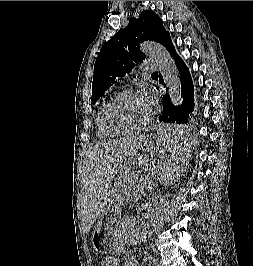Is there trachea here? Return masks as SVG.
<instances>
[{
  "mask_svg": "<svg viewBox=\"0 0 253 266\" xmlns=\"http://www.w3.org/2000/svg\"><path fill=\"white\" fill-rule=\"evenodd\" d=\"M152 75H158V73L157 72H154V73H152Z\"/></svg>",
  "mask_w": 253,
  "mask_h": 266,
  "instance_id": "3493384b",
  "label": "trachea"
}]
</instances>
